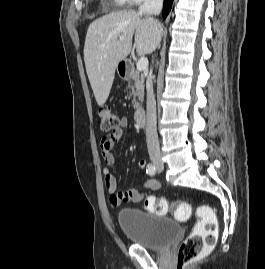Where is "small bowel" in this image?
<instances>
[{
	"instance_id": "obj_1",
	"label": "small bowel",
	"mask_w": 265,
	"mask_h": 269,
	"mask_svg": "<svg viewBox=\"0 0 265 269\" xmlns=\"http://www.w3.org/2000/svg\"><path fill=\"white\" fill-rule=\"evenodd\" d=\"M128 124V119L122 118L120 128L117 131L112 132L109 136L104 137L101 141V153L106 164V167L103 169L105 186L110 194V203L115 207L120 206L122 203H138L144 197V193L135 187H130L123 191H117L116 179L110 172V167L116 161L113 148L115 143L122 138L123 128L127 127ZM137 165L140 170H144L146 168V161L144 159H140L137 162ZM144 188L150 191H156L160 188V183L152 178L147 179L144 182Z\"/></svg>"
}]
</instances>
